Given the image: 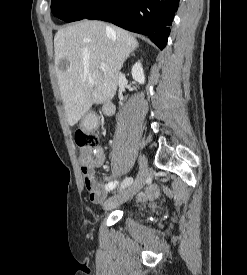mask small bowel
I'll return each mask as SVG.
<instances>
[{
    "label": "small bowel",
    "instance_id": "1",
    "mask_svg": "<svg viewBox=\"0 0 247 275\" xmlns=\"http://www.w3.org/2000/svg\"><path fill=\"white\" fill-rule=\"evenodd\" d=\"M89 123L92 125L96 124V120L94 118L89 119ZM94 159L88 163V165L82 168V175L84 185L88 191L89 199L92 202L100 203L103 200L102 190L100 185L96 182L95 179V169L103 164L105 161V152L102 148H97L94 151ZM106 183L103 185L102 189L105 192L113 191L118 182L115 180V177H105ZM159 189L156 185H149L145 192L140 193L137 197L138 200L151 199L158 195Z\"/></svg>",
    "mask_w": 247,
    "mask_h": 275
}]
</instances>
